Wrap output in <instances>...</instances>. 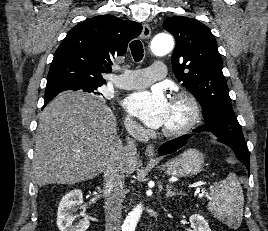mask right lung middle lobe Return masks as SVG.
Returning a JSON list of instances; mask_svg holds the SVG:
<instances>
[{
    "label": "right lung middle lobe",
    "mask_w": 268,
    "mask_h": 231,
    "mask_svg": "<svg viewBox=\"0 0 268 231\" xmlns=\"http://www.w3.org/2000/svg\"><path fill=\"white\" fill-rule=\"evenodd\" d=\"M98 88L99 87H97V86H84V87H82V86H70V85H57V86L46 88L45 96L55 97L60 92L66 91V90H73V91L80 90V92H88V93H93V94L99 95V92L97 91Z\"/></svg>",
    "instance_id": "right-lung-middle-lobe-1"
}]
</instances>
